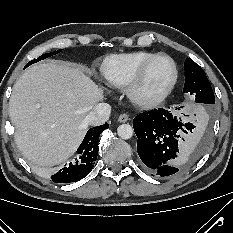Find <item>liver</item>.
Listing matches in <instances>:
<instances>
[{
	"instance_id": "obj_1",
	"label": "liver",
	"mask_w": 233,
	"mask_h": 233,
	"mask_svg": "<svg viewBox=\"0 0 233 233\" xmlns=\"http://www.w3.org/2000/svg\"><path fill=\"white\" fill-rule=\"evenodd\" d=\"M102 99L103 91L82 67L55 61L31 66L9 101L19 150L42 167L67 160L86 134L87 115Z\"/></svg>"
}]
</instances>
